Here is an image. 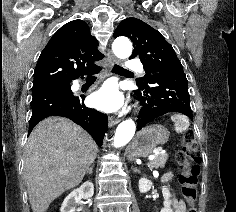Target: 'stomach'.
Instances as JSON below:
<instances>
[{
	"instance_id": "1",
	"label": "stomach",
	"mask_w": 236,
	"mask_h": 212,
	"mask_svg": "<svg viewBox=\"0 0 236 212\" xmlns=\"http://www.w3.org/2000/svg\"><path fill=\"white\" fill-rule=\"evenodd\" d=\"M170 132L162 125H151L139 131L128 148L130 158L149 155L157 145L165 144Z\"/></svg>"
}]
</instances>
